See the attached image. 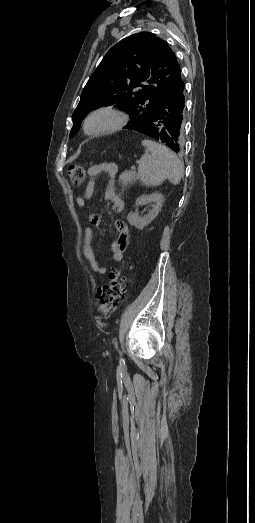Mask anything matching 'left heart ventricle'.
I'll return each mask as SVG.
<instances>
[{"instance_id": "obj_1", "label": "left heart ventricle", "mask_w": 255, "mask_h": 523, "mask_svg": "<svg viewBox=\"0 0 255 523\" xmlns=\"http://www.w3.org/2000/svg\"><path fill=\"white\" fill-rule=\"evenodd\" d=\"M110 122H111V120L109 117L99 116L93 120L91 125H92V127H95V128H102V127L108 125Z\"/></svg>"}]
</instances>
